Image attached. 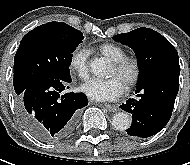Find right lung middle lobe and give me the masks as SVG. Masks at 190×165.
<instances>
[{
    "instance_id": "dd1d6c3e",
    "label": "right lung middle lobe",
    "mask_w": 190,
    "mask_h": 165,
    "mask_svg": "<svg viewBox=\"0 0 190 165\" xmlns=\"http://www.w3.org/2000/svg\"><path fill=\"white\" fill-rule=\"evenodd\" d=\"M82 40V32L63 22H48L28 32L14 58L16 94L41 79L71 78L72 53Z\"/></svg>"
}]
</instances>
